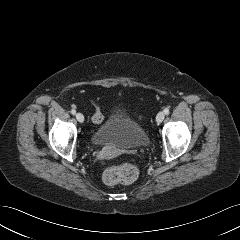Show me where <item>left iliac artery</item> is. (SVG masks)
Listing matches in <instances>:
<instances>
[{"label":"left iliac artery","mask_w":240,"mask_h":240,"mask_svg":"<svg viewBox=\"0 0 240 240\" xmlns=\"http://www.w3.org/2000/svg\"><path fill=\"white\" fill-rule=\"evenodd\" d=\"M164 113H165L166 115H168V114H169V108H165V109H164Z\"/></svg>","instance_id":"1"}]
</instances>
